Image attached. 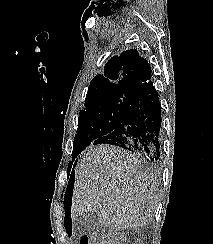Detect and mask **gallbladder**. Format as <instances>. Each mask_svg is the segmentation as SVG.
I'll return each mask as SVG.
<instances>
[{
  "label": "gallbladder",
  "instance_id": "bac80fb5",
  "mask_svg": "<svg viewBox=\"0 0 213 244\" xmlns=\"http://www.w3.org/2000/svg\"><path fill=\"white\" fill-rule=\"evenodd\" d=\"M102 229L99 218L95 213H83L73 223V230L76 234L82 236L93 234Z\"/></svg>",
  "mask_w": 213,
  "mask_h": 244
}]
</instances>
